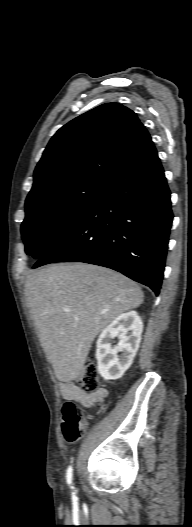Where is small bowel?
<instances>
[{"mask_svg":"<svg viewBox=\"0 0 192 527\" xmlns=\"http://www.w3.org/2000/svg\"><path fill=\"white\" fill-rule=\"evenodd\" d=\"M63 395L78 401L85 407H91L100 404L107 397L106 389H97L93 392H86L74 383H65L63 385Z\"/></svg>","mask_w":192,"mask_h":527,"instance_id":"obj_1","label":"small bowel"}]
</instances>
